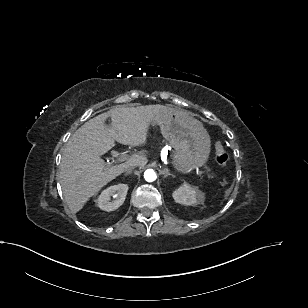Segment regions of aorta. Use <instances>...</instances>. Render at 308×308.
I'll return each mask as SVG.
<instances>
[{"label": "aorta", "mask_w": 308, "mask_h": 308, "mask_svg": "<svg viewBox=\"0 0 308 308\" xmlns=\"http://www.w3.org/2000/svg\"><path fill=\"white\" fill-rule=\"evenodd\" d=\"M144 178L147 182H153L156 180L157 175L153 169H147L144 172Z\"/></svg>", "instance_id": "1"}]
</instances>
